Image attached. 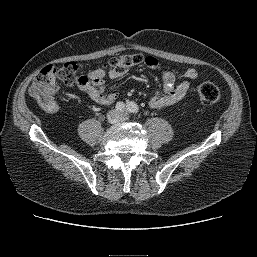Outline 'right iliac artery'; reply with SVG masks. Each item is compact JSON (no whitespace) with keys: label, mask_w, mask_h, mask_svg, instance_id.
I'll return each instance as SVG.
<instances>
[{"label":"right iliac artery","mask_w":257,"mask_h":257,"mask_svg":"<svg viewBox=\"0 0 257 257\" xmlns=\"http://www.w3.org/2000/svg\"><path fill=\"white\" fill-rule=\"evenodd\" d=\"M116 109H117L118 111H124V109H125V104H124L123 102H118V103L116 104Z\"/></svg>","instance_id":"right-iliac-artery-1"}]
</instances>
